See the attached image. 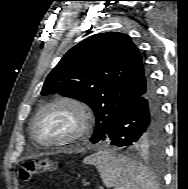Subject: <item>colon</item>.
I'll use <instances>...</instances> for the list:
<instances>
[{"instance_id":"1","label":"colon","mask_w":188,"mask_h":189,"mask_svg":"<svg viewBox=\"0 0 188 189\" xmlns=\"http://www.w3.org/2000/svg\"><path fill=\"white\" fill-rule=\"evenodd\" d=\"M53 170V164L49 160L24 161L19 168V178L22 182H30L32 178L40 173Z\"/></svg>"}]
</instances>
